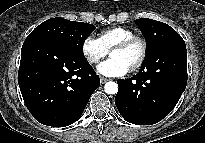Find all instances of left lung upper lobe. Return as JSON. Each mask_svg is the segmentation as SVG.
Returning a JSON list of instances; mask_svg holds the SVG:
<instances>
[{
  "instance_id": "1",
  "label": "left lung upper lobe",
  "mask_w": 205,
  "mask_h": 143,
  "mask_svg": "<svg viewBox=\"0 0 205 143\" xmlns=\"http://www.w3.org/2000/svg\"><path fill=\"white\" fill-rule=\"evenodd\" d=\"M136 24L138 25V28L143 32V35L147 41V53L146 58L142 64L141 70H146L151 65H157L160 62H163L166 60V57L156 58L154 55L155 51L160 48L165 42L175 38L179 37L180 35L169 25L160 22L155 21L148 18H141L137 19ZM155 64V62H157Z\"/></svg>"
}]
</instances>
